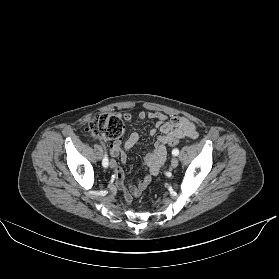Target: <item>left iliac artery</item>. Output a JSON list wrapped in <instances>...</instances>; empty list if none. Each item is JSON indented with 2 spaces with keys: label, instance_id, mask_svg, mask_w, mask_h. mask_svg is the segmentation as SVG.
<instances>
[{
  "label": "left iliac artery",
  "instance_id": "obj_1",
  "mask_svg": "<svg viewBox=\"0 0 279 279\" xmlns=\"http://www.w3.org/2000/svg\"><path fill=\"white\" fill-rule=\"evenodd\" d=\"M172 154L174 156H177L179 154V150L178 149H173Z\"/></svg>",
  "mask_w": 279,
  "mask_h": 279
}]
</instances>
